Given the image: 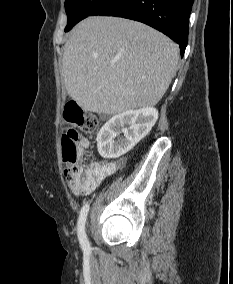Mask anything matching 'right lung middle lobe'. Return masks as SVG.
<instances>
[{
  "label": "right lung middle lobe",
  "mask_w": 233,
  "mask_h": 284,
  "mask_svg": "<svg viewBox=\"0 0 233 284\" xmlns=\"http://www.w3.org/2000/svg\"><path fill=\"white\" fill-rule=\"evenodd\" d=\"M107 0H66L65 11L68 16L65 32H68L80 20L88 17Z\"/></svg>",
  "instance_id": "dd1d6c3e"
}]
</instances>
